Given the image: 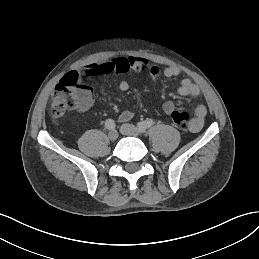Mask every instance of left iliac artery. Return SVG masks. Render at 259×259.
Segmentation results:
<instances>
[{"label": "left iliac artery", "instance_id": "44dca946", "mask_svg": "<svg viewBox=\"0 0 259 259\" xmlns=\"http://www.w3.org/2000/svg\"><path fill=\"white\" fill-rule=\"evenodd\" d=\"M154 124V121L151 119H147L145 121L139 122L137 124L138 129L140 132H145L146 129L150 128Z\"/></svg>", "mask_w": 259, "mask_h": 259}]
</instances>
